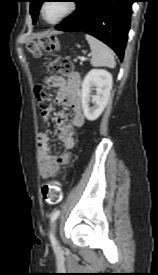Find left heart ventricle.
<instances>
[{"label":"left heart ventricle","mask_w":158,"mask_h":275,"mask_svg":"<svg viewBox=\"0 0 158 275\" xmlns=\"http://www.w3.org/2000/svg\"><path fill=\"white\" fill-rule=\"evenodd\" d=\"M67 8L66 1H48L44 8V16L47 20H55L63 15Z\"/></svg>","instance_id":"left-heart-ventricle-1"}]
</instances>
